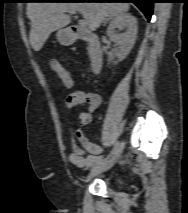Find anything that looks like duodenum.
Wrapping results in <instances>:
<instances>
[{"mask_svg":"<svg viewBox=\"0 0 188 213\" xmlns=\"http://www.w3.org/2000/svg\"><path fill=\"white\" fill-rule=\"evenodd\" d=\"M87 41L90 44V69L98 73L103 65L104 50L99 37L85 28L72 26L70 29V43Z\"/></svg>","mask_w":188,"mask_h":213,"instance_id":"duodenum-1","label":"duodenum"}]
</instances>
